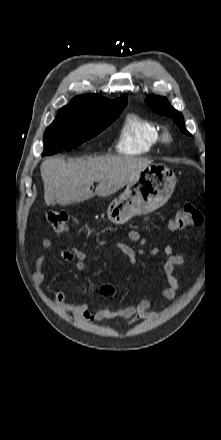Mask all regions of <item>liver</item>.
Segmentation results:
<instances>
[{
	"mask_svg": "<svg viewBox=\"0 0 221 440\" xmlns=\"http://www.w3.org/2000/svg\"><path fill=\"white\" fill-rule=\"evenodd\" d=\"M151 161L128 156L96 157L66 162L64 158H53L41 164L46 205L65 206L88 200L95 195L106 197L117 192ZM98 182L95 193L90 190Z\"/></svg>",
	"mask_w": 221,
	"mask_h": 440,
	"instance_id": "liver-1",
	"label": "liver"
}]
</instances>
